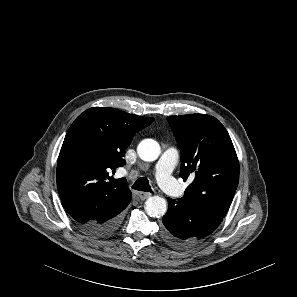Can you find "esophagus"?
<instances>
[{
    "mask_svg": "<svg viewBox=\"0 0 297 297\" xmlns=\"http://www.w3.org/2000/svg\"><path fill=\"white\" fill-rule=\"evenodd\" d=\"M152 194L151 193H146V192H138L137 196L140 200H145L149 198Z\"/></svg>",
    "mask_w": 297,
    "mask_h": 297,
    "instance_id": "esophagus-1",
    "label": "esophagus"
}]
</instances>
